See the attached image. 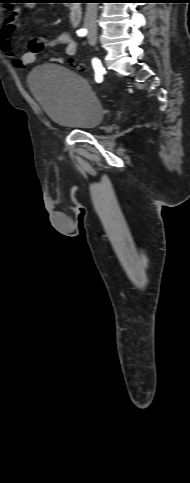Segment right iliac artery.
Instances as JSON below:
<instances>
[{
	"instance_id": "82829eb1",
	"label": "right iliac artery",
	"mask_w": 190,
	"mask_h": 483,
	"mask_svg": "<svg viewBox=\"0 0 190 483\" xmlns=\"http://www.w3.org/2000/svg\"><path fill=\"white\" fill-rule=\"evenodd\" d=\"M77 34H78V36H85L87 34V30L86 29H80V30L77 31ZM92 64H93V67H94V70H95V73H96L95 79L99 83V82H101L100 73H102L103 67L101 66V63L99 62V60L96 59V58L93 59Z\"/></svg>"
}]
</instances>
